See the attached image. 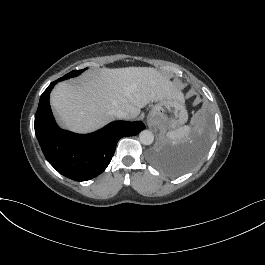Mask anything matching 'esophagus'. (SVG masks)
Here are the masks:
<instances>
[{
    "label": "esophagus",
    "mask_w": 265,
    "mask_h": 265,
    "mask_svg": "<svg viewBox=\"0 0 265 265\" xmlns=\"http://www.w3.org/2000/svg\"><path fill=\"white\" fill-rule=\"evenodd\" d=\"M147 125L149 128H153L154 127V123L151 122L150 120L147 121Z\"/></svg>",
    "instance_id": "34e87169"
}]
</instances>
